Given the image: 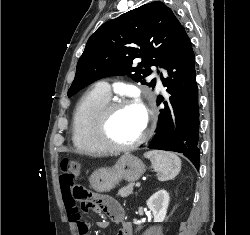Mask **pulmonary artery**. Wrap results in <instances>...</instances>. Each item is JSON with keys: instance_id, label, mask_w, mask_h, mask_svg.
I'll return each instance as SVG.
<instances>
[{"instance_id": "pulmonary-artery-1", "label": "pulmonary artery", "mask_w": 250, "mask_h": 235, "mask_svg": "<svg viewBox=\"0 0 250 235\" xmlns=\"http://www.w3.org/2000/svg\"><path fill=\"white\" fill-rule=\"evenodd\" d=\"M152 78H155L156 79V82H157V87L159 89H163V84H162V81L160 80L159 76L157 73H153L151 75ZM97 87L100 91H102L103 93L107 94L110 96V85L107 83V82H99L97 84Z\"/></svg>"}]
</instances>
